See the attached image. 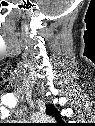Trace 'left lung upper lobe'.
<instances>
[{
    "label": "left lung upper lobe",
    "instance_id": "left-lung-upper-lobe-1",
    "mask_svg": "<svg viewBox=\"0 0 95 126\" xmlns=\"http://www.w3.org/2000/svg\"><path fill=\"white\" fill-rule=\"evenodd\" d=\"M46 114L56 118L58 122L61 121V114L52 105L46 107Z\"/></svg>",
    "mask_w": 95,
    "mask_h": 126
}]
</instances>
